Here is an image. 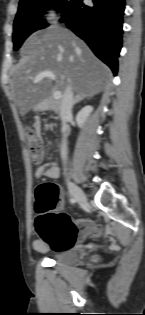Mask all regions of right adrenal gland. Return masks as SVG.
I'll return each instance as SVG.
<instances>
[{"instance_id": "2a0ac1e0", "label": "right adrenal gland", "mask_w": 145, "mask_h": 315, "mask_svg": "<svg viewBox=\"0 0 145 315\" xmlns=\"http://www.w3.org/2000/svg\"><path fill=\"white\" fill-rule=\"evenodd\" d=\"M86 96H76L73 105L79 103L80 101H82Z\"/></svg>"}]
</instances>
